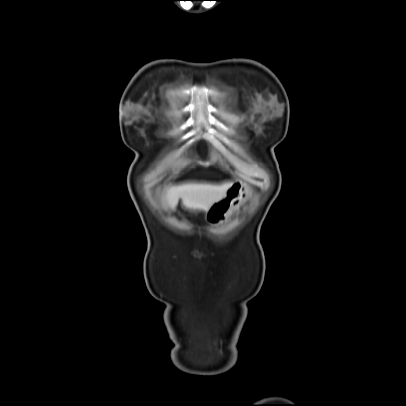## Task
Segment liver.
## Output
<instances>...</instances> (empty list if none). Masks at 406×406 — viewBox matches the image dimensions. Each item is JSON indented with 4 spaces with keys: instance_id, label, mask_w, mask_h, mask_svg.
<instances>
[{
    "instance_id": "liver-1",
    "label": "liver",
    "mask_w": 406,
    "mask_h": 406,
    "mask_svg": "<svg viewBox=\"0 0 406 406\" xmlns=\"http://www.w3.org/2000/svg\"><path fill=\"white\" fill-rule=\"evenodd\" d=\"M231 182L222 184L188 182L170 186L163 199L166 205L175 210L179 199L182 206L191 211H207L215 202L223 199Z\"/></svg>"
}]
</instances>
